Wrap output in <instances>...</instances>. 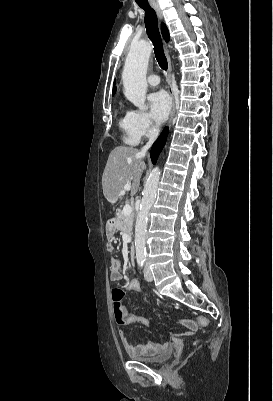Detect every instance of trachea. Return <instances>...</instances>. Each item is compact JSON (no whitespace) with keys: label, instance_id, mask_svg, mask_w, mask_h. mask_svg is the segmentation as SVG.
Wrapping results in <instances>:
<instances>
[{"label":"trachea","instance_id":"1","mask_svg":"<svg viewBox=\"0 0 273 401\" xmlns=\"http://www.w3.org/2000/svg\"><path fill=\"white\" fill-rule=\"evenodd\" d=\"M145 11V27L147 35L154 45V53L158 65L163 69L167 70L168 62L163 51V45L158 29V19L155 10L150 5H139Z\"/></svg>","mask_w":273,"mask_h":401}]
</instances>
